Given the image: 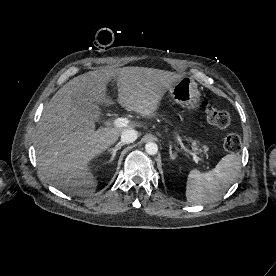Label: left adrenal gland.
Masks as SVG:
<instances>
[{
    "instance_id": "obj_1",
    "label": "left adrenal gland",
    "mask_w": 276,
    "mask_h": 276,
    "mask_svg": "<svg viewBox=\"0 0 276 276\" xmlns=\"http://www.w3.org/2000/svg\"><path fill=\"white\" fill-rule=\"evenodd\" d=\"M169 154H170V158L172 160H174L176 158V154H173V152H172V145H170V147H169Z\"/></svg>"
}]
</instances>
